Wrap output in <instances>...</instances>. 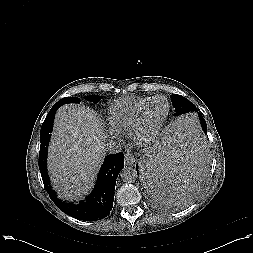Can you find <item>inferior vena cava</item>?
<instances>
[{"instance_id":"obj_1","label":"inferior vena cava","mask_w":253,"mask_h":253,"mask_svg":"<svg viewBox=\"0 0 253 253\" xmlns=\"http://www.w3.org/2000/svg\"><path fill=\"white\" fill-rule=\"evenodd\" d=\"M106 148L105 150L109 153H117L120 151L121 149V145L120 144H117L116 142L114 141H108L107 144L105 145Z\"/></svg>"}]
</instances>
